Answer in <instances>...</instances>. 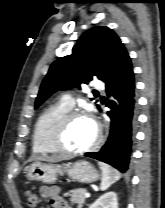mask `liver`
I'll list each match as a JSON object with an SVG mask.
<instances>
[{"mask_svg":"<svg viewBox=\"0 0 165 208\" xmlns=\"http://www.w3.org/2000/svg\"><path fill=\"white\" fill-rule=\"evenodd\" d=\"M68 159H69L68 157H63V156H55V157L40 156L33 158V160L47 161V162H60Z\"/></svg>","mask_w":165,"mask_h":208,"instance_id":"liver-1","label":"liver"}]
</instances>
